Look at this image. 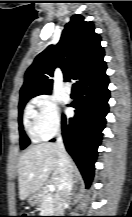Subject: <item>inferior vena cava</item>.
Here are the masks:
<instances>
[{
	"label": "inferior vena cava",
	"mask_w": 132,
	"mask_h": 217,
	"mask_svg": "<svg viewBox=\"0 0 132 217\" xmlns=\"http://www.w3.org/2000/svg\"><path fill=\"white\" fill-rule=\"evenodd\" d=\"M56 144L58 148L60 184L55 196V213L57 216H62L66 199L72 190L74 171L72 168V161L65 150L63 139L60 133L57 136Z\"/></svg>",
	"instance_id": "inferior-vena-cava-1"
}]
</instances>
